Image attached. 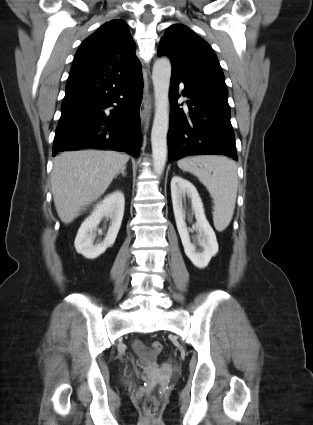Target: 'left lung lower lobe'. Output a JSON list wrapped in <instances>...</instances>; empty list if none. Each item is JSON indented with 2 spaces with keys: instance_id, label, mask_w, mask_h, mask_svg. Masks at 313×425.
I'll list each match as a JSON object with an SVG mask.
<instances>
[{
  "instance_id": "1",
  "label": "left lung lower lobe",
  "mask_w": 313,
  "mask_h": 425,
  "mask_svg": "<svg viewBox=\"0 0 313 425\" xmlns=\"http://www.w3.org/2000/svg\"><path fill=\"white\" fill-rule=\"evenodd\" d=\"M184 83L183 96L188 111L176 106L178 85ZM170 129L168 132L169 161L189 155H225L238 160L235 137L230 122L228 93L199 88L171 75L169 92Z\"/></svg>"
}]
</instances>
